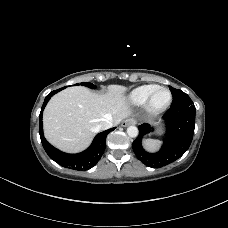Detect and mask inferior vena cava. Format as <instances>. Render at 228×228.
I'll list each match as a JSON object with an SVG mask.
<instances>
[{"mask_svg":"<svg viewBox=\"0 0 228 228\" xmlns=\"http://www.w3.org/2000/svg\"><path fill=\"white\" fill-rule=\"evenodd\" d=\"M114 125H116V124L113 121L106 120L104 122H101L99 125H97V129H98V131L107 130V129L113 127Z\"/></svg>","mask_w":228,"mask_h":228,"instance_id":"602c4592","label":"inferior vena cava"}]
</instances>
